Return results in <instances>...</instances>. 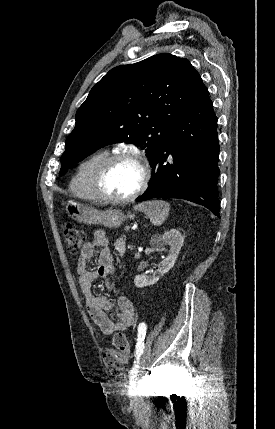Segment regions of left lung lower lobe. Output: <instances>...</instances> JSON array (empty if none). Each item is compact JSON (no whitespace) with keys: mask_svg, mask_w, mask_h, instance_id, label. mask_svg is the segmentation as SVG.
Returning <instances> with one entry per match:
<instances>
[{"mask_svg":"<svg viewBox=\"0 0 275 429\" xmlns=\"http://www.w3.org/2000/svg\"><path fill=\"white\" fill-rule=\"evenodd\" d=\"M218 155L217 117L208 90L199 78L187 108L151 162L154 173L137 202L185 199L220 217Z\"/></svg>","mask_w":275,"mask_h":429,"instance_id":"obj_1","label":"left lung lower lobe"}]
</instances>
